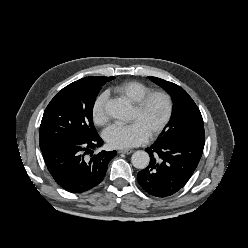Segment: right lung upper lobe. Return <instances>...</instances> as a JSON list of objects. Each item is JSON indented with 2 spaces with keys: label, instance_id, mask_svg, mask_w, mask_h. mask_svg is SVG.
Segmentation results:
<instances>
[{
  "label": "right lung upper lobe",
  "instance_id": "right-lung-upper-lobe-1",
  "mask_svg": "<svg viewBox=\"0 0 248 248\" xmlns=\"http://www.w3.org/2000/svg\"><path fill=\"white\" fill-rule=\"evenodd\" d=\"M112 79H114V77L89 76V77L82 78V79L75 81V82L88 83V84H94V85H97V84H103L104 85L106 82H108Z\"/></svg>",
  "mask_w": 248,
  "mask_h": 248
}]
</instances>
